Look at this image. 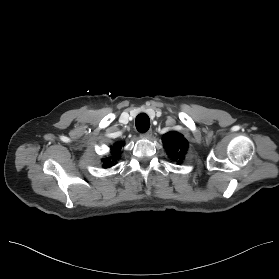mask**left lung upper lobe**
<instances>
[{
    "instance_id": "obj_1",
    "label": "left lung upper lobe",
    "mask_w": 279,
    "mask_h": 279,
    "mask_svg": "<svg viewBox=\"0 0 279 279\" xmlns=\"http://www.w3.org/2000/svg\"><path fill=\"white\" fill-rule=\"evenodd\" d=\"M163 144L173 161L181 163L184 160V154L188 148L187 140L177 132H169L163 136Z\"/></svg>"
}]
</instances>
